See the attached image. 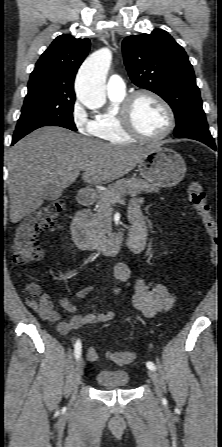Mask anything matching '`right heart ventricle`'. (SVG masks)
<instances>
[{
    "instance_id": "obj_1",
    "label": "right heart ventricle",
    "mask_w": 222,
    "mask_h": 447,
    "mask_svg": "<svg viewBox=\"0 0 222 447\" xmlns=\"http://www.w3.org/2000/svg\"><path fill=\"white\" fill-rule=\"evenodd\" d=\"M111 100V107L96 115L92 121L91 134L107 143L122 145L132 143L135 139L124 133L120 127L118 119V107L125 93L120 95L108 94Z\"/></svg>"
}]
</instances>
